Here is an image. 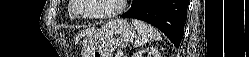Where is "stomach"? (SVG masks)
I'll return each mask as SVG.
<instances>
[{"label": "stomach", "instance_id": "0dacf381", "mask_svg": "<svg viewBox=\"0 0 249 57\" xmlns=\"http://www.w3.org/2000/svg\"><path fill=\"white\" fill-rule=\"evenodd\" d=\"M136 29L127 19L110 21L88 34L83 41L82 57H112V50L129 45Z\"/></svg>", "mask_w": 249, "mask_h": 57}]
</instances>
